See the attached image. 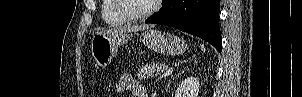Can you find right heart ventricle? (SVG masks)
I'll return each mask as SVG.
<instances>
[{"instance_id":"1","label":"right heart ventricle","mask_w":302,"mask_h":97,"mask_svg":"<svg viewBox=\"0 0 302 97\" xmlns=\"http://www.w3.org/2000/svg\"><path fill=\"white\" fill-rule=\"evenodd\" d=\"M102 20L109 26H123L129 22L115 8L114 0H103L101 8Z\"/></svg>"}]
</instances>
